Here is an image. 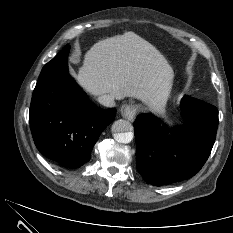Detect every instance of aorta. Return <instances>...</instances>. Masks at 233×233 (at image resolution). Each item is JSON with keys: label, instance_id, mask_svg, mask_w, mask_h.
Returning a JSON list of instances; mask_svg holds the SVG:
<instances>
[{"label": "aorta", "instance_id": "aorta-1", "mask_svg": "<svg viewBox=\"0 0 233 233\" xmlns=\"http://www.w3.org/2000/svg\"><path fill=\"white\" fill-rule=\"evenodd\" d=\"M133 126L129 121L120 119L113 123L112 131L114 133V139L118 143H129L133 139L132 133Z\"/></svg>", "mask_w": 233, "mask_h": 233}]
</instances>
